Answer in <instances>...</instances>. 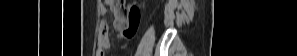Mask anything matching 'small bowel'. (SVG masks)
<instances>
[{"label": "small bowel", "instance_id": "c3829d8e", "mask_svg": "<svg viewBox=\"0 0 297 56\" xmlns=\"http://www.w3.org/2000/svg\"><path fill=\"white\" fill-rule=\"evenodd\" d=\"M105 6L108 7L114 15L113 27L121 39H128L135 35L140 13L137 7L133 6L128 15L124 10V3L116 0H105ZM102 13H106V8L102 7ZM110 48L109 40V26L106 21H102L100 25V32L98 35V49L97 56H105L107 50Z\"/></svg>", "mask_w": 297, "mask_h": 56}]
</instances>
